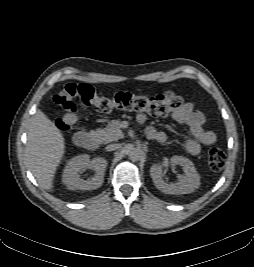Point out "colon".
Returning <instances> with one entry per match:
<instances>
[{
    "instance_id": "obj_1",
    "label": "colon",
    "mask_w": 254,
    "mask_h": 267,
    "mask_svg": "<svg viewBox=\"0 0 254 267\" xmlns=\"http://www.w3.org/2000/svg\"><path fill=\"white\" fill-rule=\"evenodd\" d=\"M54 101L63 111L56 120V126L62 131H68L77 122V101L93 106L100 112L121 109L143 111L153 116H166L177 111L183 105L184 98L171 90L152 97L119 92L108 98L100 96L89 84L69 83L55 95ZM225 163L226 156L221 149L213 148L208 152V164L211 170L220 171Z\"/></svg>"
}]
</instances>
